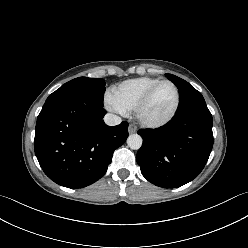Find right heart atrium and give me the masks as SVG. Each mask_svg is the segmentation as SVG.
Wrapping results in <instances>:
<instances>
[{
	"label": "right heart atrium",
	"instance_id": "obj_1",
	"mask_svg": "<svg viewBox=\"0 0 248 248\" xmlns=\"http://www.w3.org/2000/svg\"><path fill=\"white\" fill-rule=\"evenodd\" d=\"M105 103L108 109L115 112L124 113V111L115 103L111 96L108 95L106 97Z\"/></svg>",
	"mask_w": 248,
	"mask_h": 248
}]
</instances>
